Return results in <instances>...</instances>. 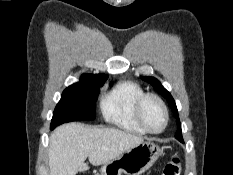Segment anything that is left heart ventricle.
<instances>
[{"instance_id":"left-heart-ventricle-1","label":"left heart ventricle","mask_w":233,"mask_h":175,"mask_svg":"<svg viewBox=\"0 0 233 175\" xmlns=\"http://www.w3.org/2000/svg\"><path fill=\"white\" fill-rule=\"evenodd\" d=\"M142 115L145 123L151 130L162 128L165 117L160 105L154 99H148L142 109Z\"/></svg>"}]
</instances>
